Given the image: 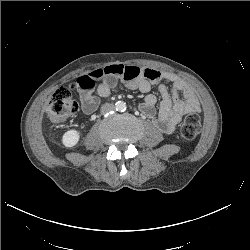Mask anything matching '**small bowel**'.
Here are the masks:
<instances>
[{
  "label": "small bowel",
  "mask_w": 250,
  "mask_h": 250,
  "mask_svg": "<svg viewBox=\"0 0 250 250\" xmlns=\"http://www.w3.org/2000/svg\"><path fill=\"white\" fill-rule=\"evenodd\" d=\"M119 82H123L130 90L142 93H148L153 85L158 86L161 96L158 112L156 113L158 99L154 94L145 97L140 110L164 133H171L184 115L201 110L192 88L175 74L135 65L113 64L94 69L77 80L83 113H94L99 106L100 97H108L116 91ZM168 82L172 83V91L167 86Z\"/></svg>",
  "instance_id": "obj_1"
}]
</instances>
